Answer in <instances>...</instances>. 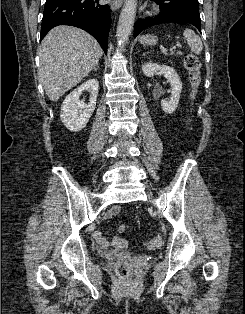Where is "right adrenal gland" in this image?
<instances>
[{
	"instance_id": "2a0ac1e0",
	"label": "right adrenal gland",
	"mask_w": 245,
	"mask_h": 314,
	"mask_svg": "<svg viewBox=\"0 0 245 314\" xmlns=\"http://www.w3.org/2000/svg\"><path fill=\"white\" fill-rule=\"evenodd\" d=\"M93 70H94V71H97V67H94Z\"/></svg>"
}]
</instances>
